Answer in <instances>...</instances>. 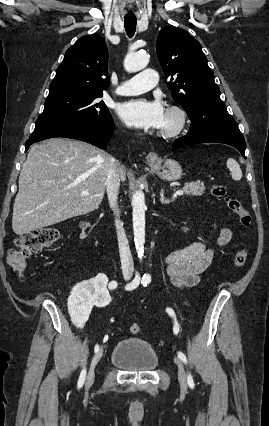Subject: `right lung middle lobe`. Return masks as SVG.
<instances>
[{
    "label": "right lung middle lobe",
    "mask_w": 269,
    "mask_h": 426,
    "mask_svg": "<svg viewBox=\"0 0 269 426\" xmlns=\"http://www.w3.org/2000/svg\"><path fill=\"white\" fill-rule=\"evenodd\" d=\"M102 95L103 92L77 90L50 92L43 113L38 117L29 138L87 121H100L111 116L105 103L99 100Z\"/></svg>",
    "instance_id": "right-lung-middle-lobe-1"
}]
</instances>
